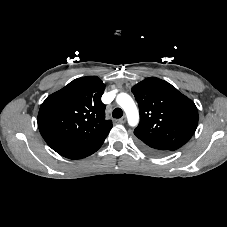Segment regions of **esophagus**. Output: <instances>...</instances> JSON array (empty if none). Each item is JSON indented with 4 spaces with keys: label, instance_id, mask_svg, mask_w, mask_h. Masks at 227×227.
Masks as SVG:
<instances>
[{
    "label": "esophagus",
    "instance_id": "obj_1",
    "mask_svg": "<svg viewBox=\"0 0 227 227\" xmlns=\"http://www.w3.org/2000/svg\"><path fill=\"white\" fill-rule=\"evenodd\" d=\"M126 122V117L125 116H123L122 118H120L119 120H118V123H120V124H123V123H125Z\"/></svg>",
    "mask_w": 227,
    "mask_h": 227
}]
</instances>
